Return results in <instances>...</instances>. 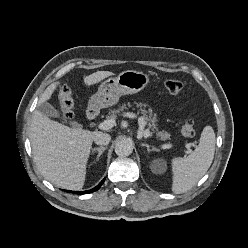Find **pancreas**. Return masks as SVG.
Here are the masks:
<instances>
[{
  "label": "pancreas",
  "mask_w": 248,
  "mask_h": 248,
  "mask_svg": "<svg viewBox=\"0 0 248 248\" xmlns=\"http://www.w3.org/2000/svg\"><path fill=\"white\" fill-rule=\"evenodd\" d=\"M137 105L140 107L141 110V114H142V121H143V125H147L149 126V129L151 130V133L156 132V137L160 140H166V139H170V134L167 133L166 131H158L157 128V124H156V115L153 114L152 109L149 108L148 110L145 109V104L142 103H137ZM128 107H131L130 104L126 105V104H122L121 106H119L117 109H113L110 110L109 112V116L108 118L111 119H115L117 117V115L123 111L124 109H127ZM143 107V108H142Z\"/></svg>",
  "instance_id": "cf45deb5"
}]
</instances>
